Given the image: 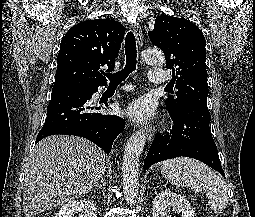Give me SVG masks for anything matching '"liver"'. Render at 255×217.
<instances>
[{
  "label": "liver",
  "instance_id": "liver-1",
  "mask_svg": "<svg viewBox=\"0 0 255 217\" xmlns=\"http://www.w3.org/2000/svg\"><path fill=\"white\" fill-rule=\"evenodd\" d=\"M105 173V154L77 136L54 135L41 140L25 170L23 208L26 217L80 198Z\"/></svg>",
  "mask_w": 255,
  "mask_h": 217
}]
</instances>
